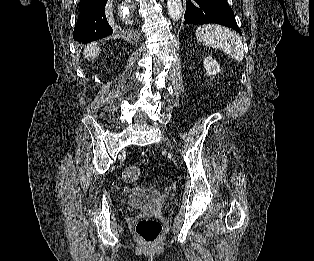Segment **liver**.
I'll list each match as a JSON object with an SVG mask.
<instances>
[{"instance_id":"obj_1","label":"liver","mask_w":314,"mask_h":261,"mask_svg":"<svg viewBox=\"0 0 314 261\" xmlns=\"http://www.w3.org/2000/svg\"><path fill=\"white\" fill-rule=\"evenodd\" d=\"M99 52L100 48L96 44L92 43L85 47L83 55L86 59L90 60L95 59Z\"/></svg>"}]
</instances>
